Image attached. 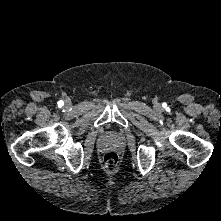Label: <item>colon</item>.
I'll return each instance as SVG.
<instances>
[{
	"instance_id": "1",
	"label": "colon",
	"mask_w": 221,
	"mask_h": 221,
	"mask_svg": "<svg viewBox=\"0 0 221 221\" xmlns=\"http://www.w3.org/2000/svg\"><path fill=\"white\" fill-rule=\"evenodd\" d=\"M118 162V156L114 152H107L103 157V166L108 172L114 171L118 166Z\"/></svg>"
}]
</instances>
